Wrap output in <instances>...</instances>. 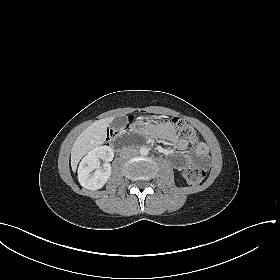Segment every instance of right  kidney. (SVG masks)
Segmentation results:
<instances>
[{"mask_svg": "<svg viewBox=\"0 0 280 280\" xmlns=\"http://www.w3.org/2000/svg\"><path fill=\"white\" fill-rule=\"evenodd\" d=\"M114 152L109 146H99L92 149L80 162L78 180L82 187L88 190L101 189L111 175V165ZM100 160L105 161L100 167ZM100 167V168H99Z\"/></svg>", "mask_w": 280, "mask_h": 280, "instance_id": "1", "label": "right kidney"}]
</instances>
